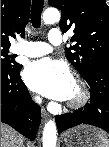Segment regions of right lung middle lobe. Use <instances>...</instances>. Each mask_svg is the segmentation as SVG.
I'll use <instances>...</instances> for the list:
<instances>
[{
	"mask_svg": "<svg viewBox=\"0 0 109 147\" xmlns=\"http://www.w3.org/2000/svg\"><path fill=\"white\" fill-rule=\"evenodd\" d=\"M15 66L16 63L10 60V56H8V48H1V67L8 69Z\"/></svg>",
	"mask_w": 109,
	"mask_h": 147,
	"instance_id": "right-lung-middle-lobe-1",
	"label": "right lung middle lobe"
}]
</instances>
